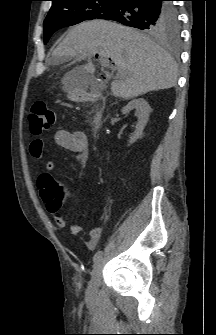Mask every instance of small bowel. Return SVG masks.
Listing matches in <instances>:
<instances>
[{"label": "small bowel", "instance_id": "c3829d8e", "mask_svg": "<svg viewBox=\"0 0 216 335\" xmlns=\"http://www.w3.org/2000/svg\"><path fill=\"white\" fill-rule=\"evenodd\" d=\"M55 143L72 152L85 156L88 152V139L84 132L82 131H68L64 129L57 130L54 134ZM45 145V139L43 137H36L30 144L29 153L30 155L38 159L42 156L43 149ZM55 164L53 161H48L45 164L44 172L41 173L37 180V187L40 192L41 199L45 203L47 210L54 216V221L59 228L66 227L67 223L63 216H61L59 211V206H57L54 199L46 200L44 194L49 192L52 188L53 177L52 173L54 171ZM82 231V226L78 224H73L70 226V232L74 235L79 234ZM103 228L101 226H96L89 231V238L86 240L85 245L88 249H94L102 235Z\"/></svg>", "mask_w": 216, "mask_h": 335}]
</instances>
